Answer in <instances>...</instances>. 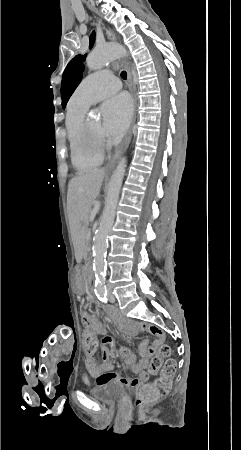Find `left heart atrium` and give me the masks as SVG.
I'll list each match as a JSON object with an SVG mask.
<instances>
[{
	"label": "left heart atrium",
	"mask_w": 241,
	"mask_h": 450,
	"mask_svg": "<svg viewBox=\"0 0 241 450\" xmlns=\"http://www.w3.org/2000/svg\"><path fill=\"white\" fill-rule=\"evenodd\" d=\"M108 113L107 127L115 137H120L128 128L132 115L133 104L131 98L124 93L119 94L105 104Z\"/></svg>",
	"instance_id": "39dd6f15"
}]
</instances>
